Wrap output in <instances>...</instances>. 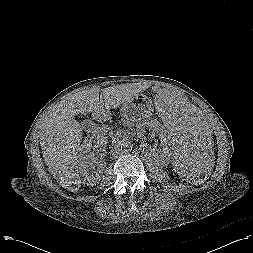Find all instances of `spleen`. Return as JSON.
I'll list each match as a JSON object with an SVG mask.
<instances>
[{"mask_svg": "<svg viewBox=\"0 0 253 253\" xmlns=\"http://www.w3.org/2000/svg\"><path fill=\"white\" fill-rule=\"evenodd\" d=\"M154 109L170 138L175 175L188 186L207 180L216 168L217 150L202 112L175 89L158 92Z\"/></svg>", "mask_w": 253, "mask_h": 253, "instance_id": "spleen-1", "label": "spleen"}]
</instances>
